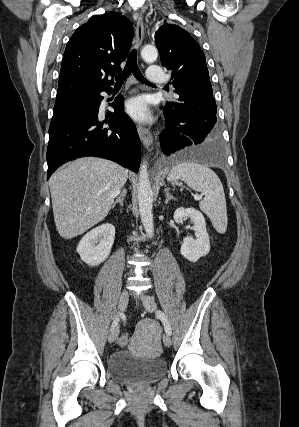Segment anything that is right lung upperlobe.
Listing matches in <instances>:
<instances>
[{"label":"right lung upper lobe","instance_id":"obj_1","mask_svg":"<svg viewBox=\"0 0 299 427\" xmlns=\"http://www.w3.org/2000/svg\"><path fill=\"white\" fill-rule=\"evenodd\" d=\"M132 39V23L119 13L96 15L80 26L63 55L57 103L109 89L113 81L102 76L121 72Z\"/></svg>","mask_w":299,"mask_h":427}]
</instances>
